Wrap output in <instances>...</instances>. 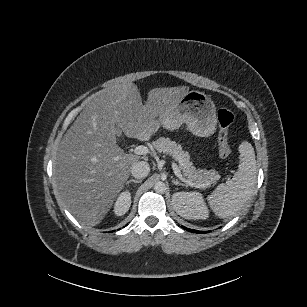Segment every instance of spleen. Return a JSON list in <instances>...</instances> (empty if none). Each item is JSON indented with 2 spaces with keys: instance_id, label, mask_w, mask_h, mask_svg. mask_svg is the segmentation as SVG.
<instances>
[{
  "instance_id": "3e777b00",
  "label": "spleen",
  "mask_w": 307,
  "mask_h": 307,
  "mask_svg": "<svg viewBox=\"0 0 307 307\" xmlns=\"http://www.w3.org/2000/svg\"><path fill=\"white\" fill-rule=\"evenodd\" d=\"M238 170L232 178L220 184L209 200L218 216L225 218L237 212L250 199L256 187L257 164L255 152L249 142H242Z\"/></svg>"
}]
</instances>
